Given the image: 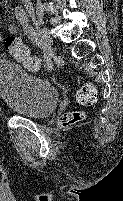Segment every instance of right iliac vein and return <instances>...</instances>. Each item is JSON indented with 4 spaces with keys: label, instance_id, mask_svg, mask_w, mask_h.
I'll return each mask as SVG.
<instances>
[{
    "label": "right iliac vein",
    "instance_id": "1",
    "mask_svg": "<svg viewBox=\"0 0 123 201\" xmlns=\"http://www.w3.org/2000/svg\"><path fill=\"white\" fill-rule=\"evenodd\" d=\"M28 12H29V15L30 17L32 18V21L36 27V29L38 30L39 34L42 36V39H43V42L45 44V46L48 48V49H51L53 47V41H52V38L49 34V31L48 29L43 26L37 19H36V16L34 14V11L33 9L29 8L28 9Z\"/></svg>",
    "mask_w": 123,
    "mask_h": 201
}]
</instances>
